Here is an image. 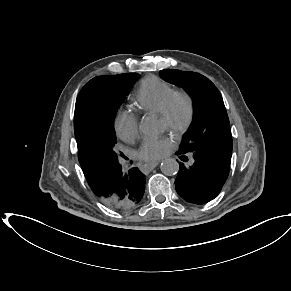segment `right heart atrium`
<instances>
[{
	"label": "right heart atrium",
	"mask_w": 291,
	"mask_h": 291,
	"mask_svg": "<svg viewBox=\"0 0 291 291\" xmlns=\"http://www.w3.org/2000/svg\"><path fill=\"white\" fill-rule=\"evenodd\" d=\"M114 129L120 139L130 142L138 134V119L129 110H119L114 119Z\"/></svg>",
	"instance_id": "obj_1"
}]
</instances>
